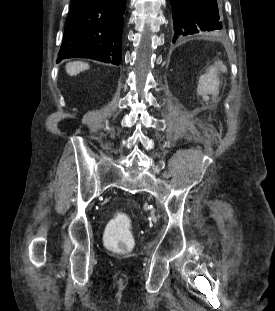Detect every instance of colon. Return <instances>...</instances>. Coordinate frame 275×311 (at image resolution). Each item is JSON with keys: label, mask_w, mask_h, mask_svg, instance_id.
I'll use <instances>...</instances> for the list:
<instances>
[{"label": "colon", "mask_w": 275, "mask_h": 311, "mask_svg": "<svg viewBox=\"0 0 275 311\" xmlns=\"http://www.w3.org/2000/svg\"><path fill=\"white\" fill-rule=\"evenodd\" d=\"M217 64V63H215ZM131 222L129 217L121 212L116 213L108 223L105 242L113 249L121 252L130 251L134 247V239L130 233Z\"/></svg>", "instance_id": "obj_1"}]
</instances>
